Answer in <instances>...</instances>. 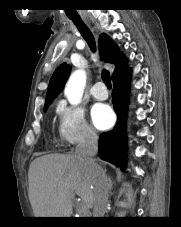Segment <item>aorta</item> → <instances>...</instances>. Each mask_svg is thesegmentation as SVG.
I'll return each instance as SVG.
<instances>
[{
    "instance_id": "obj_1",
    "label": "aorta",
    "mask_w": 181,
    "mask_h": 227,
    "mask_svg": "<svg viewBox=\"0 0 181 227\" xmlns=\"http://www.w3.org/2000/svg\"><path fill=\"white\" fill-rule=\"evenodd\" d=\"M86 85V72L82 69L74 71L64 90V94L72 105H78L81 102L83 91Z\"/></svg>"
}]
</instances>
